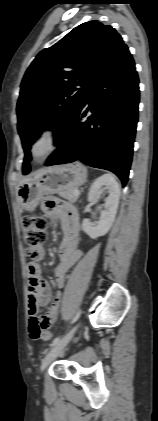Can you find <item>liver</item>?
Segmentation results:
<instances>
[{"label":"liver","mask_w":158,"mask_h":421,"mask_svg":"<svg viewBox=\"0 0 158 421\" xmlns=\"http://www.w3.org/2000/svg\"><path fill=\"white\" fill-rule=\"evenodd\" d=\"M49 168H43L40 170H37L36 172H34L31 176L25 178L24 180H22L20 182V184L24 183V182H28L31 181L34 178H38L39 176H41L43 173H45Z\"/></svg>","instance_id":"obj_1"}]
</instances>
